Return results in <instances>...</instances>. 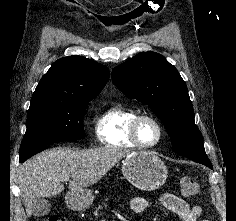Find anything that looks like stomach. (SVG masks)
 I'll use <instances>...</instances> for the list:
<instances>
[{
	"instance_id": "stomach-1",
	"label": "stomach",
	"mask_w": 236,
	"mask_h": 221,
	"mask_svg": "<svg viewBox=\"0 0 236 221\" xmlns=\"http://www.w3.org/2000/svg\"><path fill=\"white\" fill-rule=\"evenodd\" d=\"M122 173L133 186L143 191L160 188L168 174L164 162L150 151L133 152L127 155L122 161ZM65 200L71 209L83 211L92 204L94 195L91 190L83 189L68 192Z\"/></svg>"
}]
</instances>
